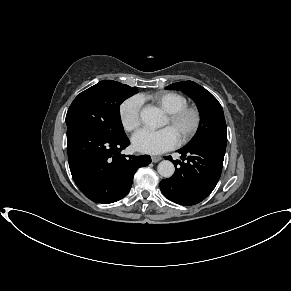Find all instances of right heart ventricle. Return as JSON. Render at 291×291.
Wrapping results in <instances>:
<instances>
[{"instance_id": "obj_1", "label": "right heart ventricle", "mask_w": 291, "mask_h": 291, "mask_svg": "<svg viewBox=\"0 0 291 291\" xmlns=\"http://www.w3.org/2000/svg\"><path fill=\"white\" fill-rule=\"evenodd\" d=\"M142 100H151L156 106L164 112H173L188 105L187 98L181 93L174 91H158L151 94H141Z\"/></svg>"}]
</instances>
